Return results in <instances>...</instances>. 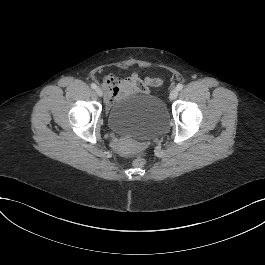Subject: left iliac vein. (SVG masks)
Returning a JSON list of instances; mask_svg holds the SVG:
<instances>
[{
    "instance_id": "1",
    "label": "left iliac vein",
    "mask_w": 265,
    "mask_h": 265,
    "mask_svg": "<svg viewBox=\"0 0 265 265\" xmlns=\"http://www.w3.org/2000/svg\"><path fill=\"white\" fill-rule=\"evenodd\" d=\"M178 96V90L177 89H173L171 92H170V95H169V99L170 100H174L176 99Z\"/></svg>"
}]
</instances>
